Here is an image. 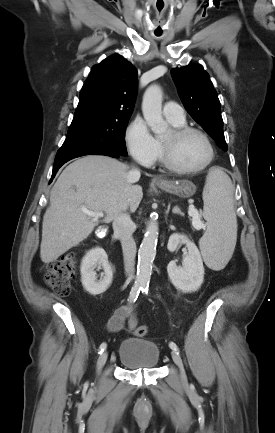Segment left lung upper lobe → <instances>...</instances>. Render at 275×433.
<instances>
[{
    "label": "left lung upper lobe",
    "instance_id": "left-lung-upper-lobe-1",
    "mask_svg": "<svg viewBox=\"0 0 275 433\" xmlns=\"http://www.w3.org/2000/svg\"><path fill=\"white\" fill-rule=\"evenodd\" d=\"M171 75L187 112L222 150L227 151L220 101L209 74L201 65L190 64L172 69Z\"/></svg>",
    "mask_w": 275,
    "mask_h": 433
}]
</instances>
